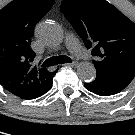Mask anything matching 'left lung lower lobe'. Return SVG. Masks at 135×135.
<instances>
[{
  "instance_id": "0a47b994",
  "label": "left lung lower lobe",
  "mask_w": 135,
  "mask_h": 135,
  "mask_svg": "<svg viewBox=\"0 0 135 135\" xmlns=\"http://www.w3.org/2000/svg\"><path fill=\"white\" fill-rule=\"evenodd\" d=\"M85 88L100 96H110L121 92L124 88L107 84L106 82L95 79L92 82L85 83Z\"/></svg>"
}]
</instances>
